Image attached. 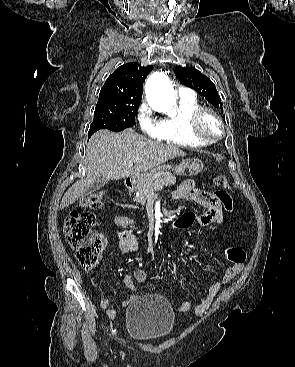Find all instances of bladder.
Instances as JSON below:
<instances>
[{
	"label": "bladder",
	"mask_w": 295,
	"mask_h": 367,
	"mask_svg": "<svg viewBox=\"0 0 295 367\" xmlns=\"http://www.w3.org/2000/svg\"><path fill=\"white\" fill-rule=\"evenodd\" d=\"M175 321L172 305L156 294L139 296L126 309V331L136 340H163L171 335Z\"/></svg>",
	"instance_id": "1"
}]
</instances>
